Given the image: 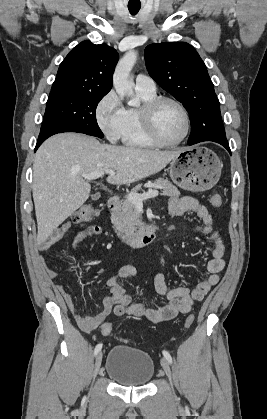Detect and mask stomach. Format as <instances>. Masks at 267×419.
Listing matches in <instances>:
<instances>
[{"label": "stomach", "mask_w": 267, "mask_h": 419, "mask_svg": "<svg viewBox=\"0 0 267 419\" xmlns=\"http://www.w3.org/2000/svg\"><path fill=\"white\" fill-rule=\"evenodd\" d=\"M221 169L222 163L215 152L206 147H190L172 160L170 177L184 190L203 192L218 182Z\"/></svg>", "instance_id": "1"}]
</instances>
